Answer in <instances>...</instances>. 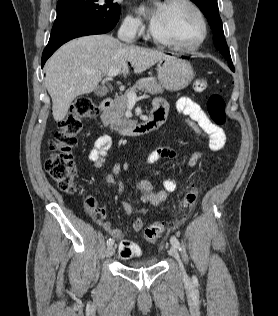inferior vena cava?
Here are the masks:
<instances>
[{"instance_id":"1","label":"inferior vena cava","mask_w":278,"mask_h":316,"mask_svg":"<svg viewBox=\"0 0 278 316\" xmlns=\"http://www.w3.org/2000/svg\"><path fill=\"white\" fill-rule=\"evenodd\" d=\"M136 26L130 23H123L118 31V38L124 42L131 43L134 39Z\"/></svg>"}]
</instances>
